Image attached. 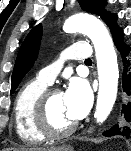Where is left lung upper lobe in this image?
<instances>
[{
	"label": "left lung upper lobe",
	"mask_w": 131,
	"mask_h": 151,
	"mask_svg": "<svg viewBox=\"0 0 131 151\" xmlns=\"http://www.w3.org/2000/svg\"><path fill=\"white\" fill-rule=\"evenodd\" d=\"M78 2L82 10L99 15L110 28L112 36L123 32L116 24L117 15L105 12L101 0H78ZM41 37L42 25L38 24L29 32L21 45L12 73L11 94L18 87L25 74L33 66L38 56Z\"/></svg>",
	"instance_id": "1"
}]
</instances>
